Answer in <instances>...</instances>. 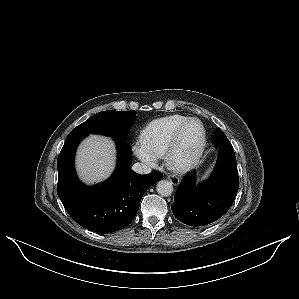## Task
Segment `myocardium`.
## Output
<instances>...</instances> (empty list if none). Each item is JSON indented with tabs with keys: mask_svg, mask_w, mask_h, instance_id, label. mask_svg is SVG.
<instances>
[{
	"mask_svg": "<svg viewBox=\"0 0 299 299\" xmlns=\"http://www.w3.org/2000/svg\"><path fill=\"white\" fill-rule=\"evenodd\" d=\"M193 122L198 123L202 130L200 144L197 150L195 151V153H193L191 156L178 160L175 154H176L179 138L182 132L185 130V128ZM205 146H206V129L203 123L197 118H188L177 128V130L173 134L169 142V145L166 149V152L164 154V162L169 169H171L176 173L186 172L187 170L191 169L199 162L205 150Z\"/></svg>",
	"mask_w": 299,
	"mask_h": 299,
	"instance_id": "myocardium-1",
	"label": "myocardium"
}]
</instances>
